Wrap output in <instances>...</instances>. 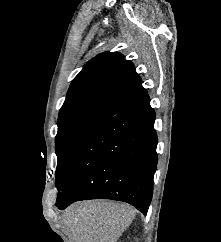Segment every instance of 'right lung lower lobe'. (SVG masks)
<instances>
[{"instance_id":"1","label":"right lung lower lobe","mask_w":221,"mask_h":242,"mask_svg":"<svg viewBox=\"0 0 221 242\" xmlns=\"http://www.w3.org/2000/svg\"><path fill=\"white\" fill-rule=\"evenodd\" d=\"M155 113L146 93L101 123L79 146L56 187V206L75 201L112 199L146 214L157 165Z\"/></svg>"}]
</instances>
